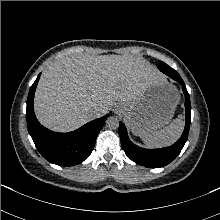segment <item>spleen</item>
Masks as SVG:
<instances>
[{"label": "spleen", "mask_w": 220, "mask_h": 220, "mask_svg": "<svg viewBox=\"0 0 220 220\" xmlns=\"http://www.w3.org/2000/svg\"><path fill=\"white\" fill-rule=\"evenodd\" d=\"M183 128V117L179 116L165 128L158 131L145 132L140 137L148 147L167 146L174 143L180 137Z\"/></svg>", "instance_id": "obj_1"}]
</instances>
